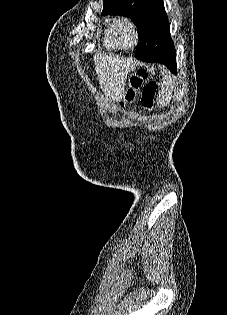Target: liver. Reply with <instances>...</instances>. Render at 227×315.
I'll return each instance as SVG.
<instances>
[{
	"label": "liver",
	"mask_w": 227,
	"mask_h": 315,
	"mask_svg": "<svg viewBox=\"0 0 227 315\" xmlns=\"http://www.w3.org/2000/svg\"><path fill=\"white\" fill-rule=\"evenodd\" d=\"M99 85L109 102L120 101L125 93L128 73L134 69L133 61L119 56L98 54L94 56Z\"/></svg>",
	"instance_id": "6515ba94"
}]
</instances>
